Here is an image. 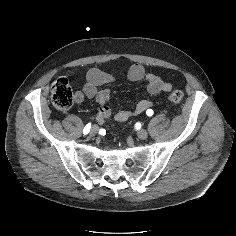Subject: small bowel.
Here are the masks:
<instances>
[{"mask_svg":"<svg viewBox=\"0 0 236 236\" xmlns=\"http://www.w3.org/2000/svg\"><path fill=\"white\" fill-rule=\"evenodd\" d=\"M127 78L131 82H144L146 90L150 95L167 93L171 91L172 85L163 81L160 77L146 72L141 64L132 65ZM116 77L98 68L90 69L86 74V83L81 90L75 92L74 98L77 103H81L84 98L94 99L98 103L96 121L99 124L105 123L111 115L109 99L111 91L109 88L99 89L100 86L114 83ZM153 106L150 100L139 101L132 109L120 110L115 114V120L124 122L132 117H137Z\"/></svg>","mask_w":236,"mask_h":236,"instance_id":"c3829d8e","label":"small bowel"}]
</instances>
